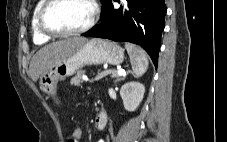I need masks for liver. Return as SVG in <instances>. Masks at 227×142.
Returning a JSON list of instances; mask_svg holds the SVG:
<instances>
[{"mask_svg": "<svg viewBox=\"0 0 227 142\" xmlns=\"http://www.w3.org/2000/svg\"><path fill=\"white\" fill-rule=\"evenodd\" d=\"M86 42V38L74 36L53 42L41 48L30 62L29 75L31 79L36 82L58 60L71 55Z\"/></svg>", "mask_w": 227, "mask_h": 142, "instance_id": "obj_1", "label": "liver"}]
</instances>
